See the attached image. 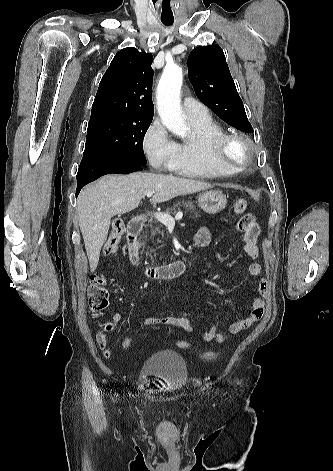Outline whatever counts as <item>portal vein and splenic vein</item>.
Listing matches in <instances>:
<instances>
[{
	"label": "portal vein and splenic vein",
	"mask_w": 333,
	"mask_h": 471,
	"mask_svg": "<svg viewBox=\"0 0 333 471\" xmlns=\"http://www.w3.org/2000/svg\"><path fill=\"white\" fill-rule=\"evenodd\" d=\"M153 191H149L146 193V196L147 197H151L153 195ZM155 218L157 220H159L162 224L166 225V226H171V225H174L175 224V220H180L182 217H183V213L182 212H178L175 216V218H173L172 216L168 215V214H165V213H155L154 214Z\"/></svg>",
	"instance_id": "1"
}]
</instances>
